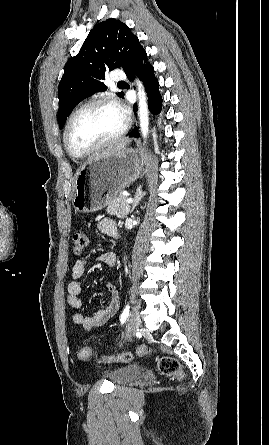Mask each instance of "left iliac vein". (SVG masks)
<instances>
[{
  "instance_id": "obj_1",
  "label": "left iliac vein",
  "mask_w": 269,
  "mask_h": 445,
  "mask_svg": "<svg viewBox=\"0 0 269 445\" xmlns=\"http://www.w3.org/2000/svg\"><path fill=\"white\" fill-rule=\"evenodd\" d=\"M140 324H141V319H140L139 312L136 309H134L129 317L128 324H127V329H126V334H125V338L127 340L131 339V337L134 335V333L140 327Z\"/></svg>"
}]
</instances>
